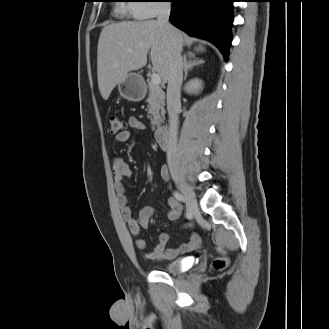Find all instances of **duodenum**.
Returning <instances> with one entry per match:
<instances>
[{
	"label": "duodenum",
	"instance_id": "1",
	"mask_svg": "<svg viewBox=\"0 0 329 329\" xmlns=\"http://www.w3.org/2000/svg\"><path fill=\"white\" fill-rule=\"evenodd\" d=\"M155 137H156V141L158 142L159 146L162 149L167 150L170 148V134L165 125L160 123L156 124Z\"/></svg>",
	"mask_w": 329,
	"mask_h": 329
}]
</instances>
